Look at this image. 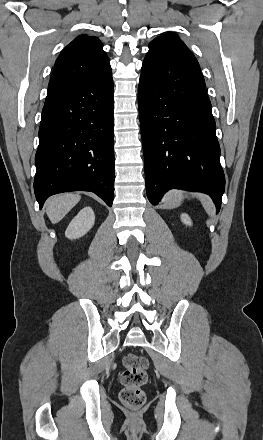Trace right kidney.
<instances>
[{
  "instance_id": "obj_1",
  "label": "right kidney",
  "mask_w": 263,
  "mask_h": 440,
  "mask_svg": "<svg viewBox=\"0 0 263 440\" xmlns=\"http://www.w3.org/2000/svg\"><path fill=\"white\" fill-rule=\"evenodd\" d=\"M95 214L91 207H84L68 225L65 236L77 239L85 235L94 225Z\"/></svg>"
}]
</instances>
